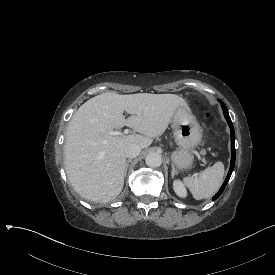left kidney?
Listing matches in <instances>:
<instances>
[{
    "label": "left kidney",
    "mask_w": 275,
    "mask_h": 275,
    "mask_svg": "<svg viewBox=\"0 0 275 275\" xmlns=\"http://www.w3.org/2000/svg\"><path fill=\"white\" fill-rule=\"evenodd\" d=\"M172 186H173L174 192L180 198H186L188 196L187 188L181 179L179 178L174 179L172 182Z\"/></svg>",
    "instance_id": "obj_1"
}]
</instances>
